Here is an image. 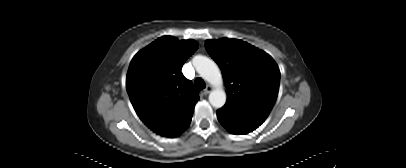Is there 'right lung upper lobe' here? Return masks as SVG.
<instances>
[{"label":"right lung upper lobe","mask_w":406,"mask_h":168,"mask_svg":"<svg viewBox=\"0 0 406 168\" xmlns=\"http://www.w3.org/2000/svg\"><path fill=\"white\" fill-rule=\"evenodd\" d=\"M197 48L194 40L163 36L130 63L126 88L131 103L140 119L159 135L177 136L192 119L199 96L180 70Z\"/></svg>","instance_id":"cb5924a9"}]
</instances>
